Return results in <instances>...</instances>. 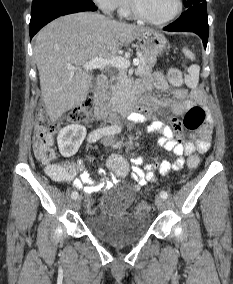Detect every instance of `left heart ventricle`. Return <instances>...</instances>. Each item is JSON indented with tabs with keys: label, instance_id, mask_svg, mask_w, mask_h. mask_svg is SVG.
I'll use <instances>...</instances> for the list:
<instances>
[{
	"label": "left heart ventricle",
	"instance_id": "obj_1",
	"mask_svg": "<svg viewBox=\"0 0 233 284\" xmlns=\"http://www.w3.org/2000/svg\"><path fill=\"white\" fill-rule=\"evenodd\" d=\"M140 9L153 19H164L176 8V0H137Z\"/></svg>",
	"mask_w": 233,
	"mask_h": 284
}]
</instances>
